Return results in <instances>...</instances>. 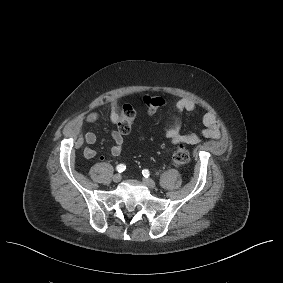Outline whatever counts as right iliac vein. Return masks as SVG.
<instances>
[{
    "instance_id": "right-iliac-vein-1",
    "label": "right iliac vein",
    "mask_w": 283,
    "mask_h": 283,
    "mask_svg": "<svg viewBox=\"0 0 283 283\" xmlns=\"http://www.w3.org/2000/svg\"><path fill=\"white\" fill-rule=\"evenodd\" d=\"M121 179H122L121 174H115L113 176V181L116 182V183L120 182Z\"/></svg>"
}]
</instances>
